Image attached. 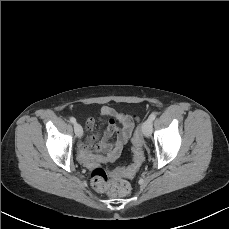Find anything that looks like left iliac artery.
I'll use <instances>...</instances> for the list:
<instances>
[{"instance_id": "obj_1", "label": "left iliac artery", "mask_w": 229, "mask_h": 229, "mask_svg": "<svg viewBox=\"0 0 229 229\" xmlns=\"http://www.w3.org/2000/svg\"><path fill=\"white\" fill-rule=\"evenodd\" d=\"M156 118V113H152L150 116H149V119H151L152 121Z\"/></svg>"}]
</instances>
